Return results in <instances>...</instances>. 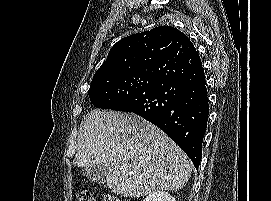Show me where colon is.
Masks as SVG:
<instances>
[{
  "instance_id": "1",
  "label": "colon",
  "mask_w": 271,
  "mask_h": 201,
  "mask_svg": "<svg viewBox=\"0 0 271 201\" xmlns=\"http://www.w3.org/2000/svg\"><path fill=\"white\" fill-rule=\"evenodd\" d=\"M77 199L78 201H94V197L92 193L88 189H81L77 193ZM103 201H121L118 197L113 196L111 194H104L103 195Z\"/></svg>"
}]
</instances>
